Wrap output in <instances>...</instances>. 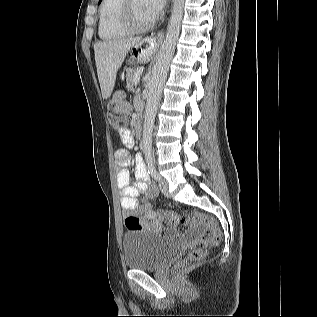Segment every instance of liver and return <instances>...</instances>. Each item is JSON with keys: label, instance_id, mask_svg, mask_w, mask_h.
<instances>
[{"label": "liver", "instance_id": "6515ba94", "mask_svg": "<svg viewBox=\"0 0 317 317\" xmlns=\"http://www.w3.org/2000/svg\"><path fill=\"white\" fill-rule=\"evenodd\" d=\"M141 38H125L110 41H99L94 44L95 62L98 80L103 99L110 97L118 69L121 67L126 54L135 45H140Z\"/></svg>", "mask_w": 317, "mask_h": 317}]
</instances>
